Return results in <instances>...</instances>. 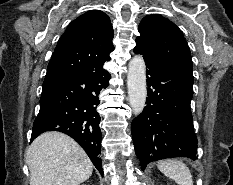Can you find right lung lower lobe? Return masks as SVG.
<instances>
[{
	"instance_id": "right-lung-lower-lobe-1",
	"label": "right lung lower lobe",
	"mask_w": 233,
	"mask_h": 185,
	"mask_svg": "<svg viewBox=\"0 0 233 185\" xmlns=\"http://www.w3.org/2000/svg\"><path fill=\"white\" fill-rule=\"evenodd\" d=\"M109 73L101 68L45 79L40 111L31 141L45 131H61L74 138L103 176L98 95L108 86Z\"/></svg>"
}]
</instances>
